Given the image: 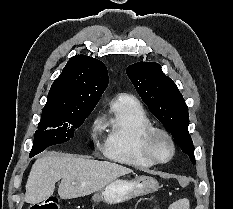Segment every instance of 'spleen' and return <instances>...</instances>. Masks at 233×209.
<instances>
[{
  "label": "spleen",
  "instance_id": "obj_1",
  "mask_svg": "<svg viewBox=\"0 0 233 209\" xmlns=\"http://www.w3.org/2000/svg\"><path fill=\"white\" fill-rule=\"evenodd\" d=\"M169 209H189V200L188 199H181L174 202Z\"/></svg>",
  "mask_w": 233,
  "mask_h": 209
}]
</instances>
